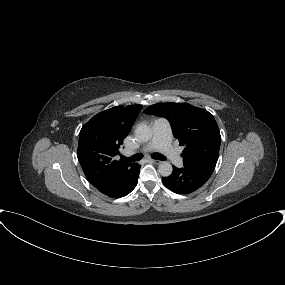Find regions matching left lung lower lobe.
Here are the masks:
<instances>
[{
    "label": "left lung lower lobe",
    "instance_id": "obj_1",
    "mask_svg": "<svg viewBox=\"0 0 285 285\" xmlns=\"http://www.w3.org/2000/svg\"><path fill=\"white\" fill-rule=\"evenodd\" d=\"M215 169L212 164H197L177 168L173 166L170 176L162 178L163 184L177 194H188L199 189Z\"/></svg>",
    "mask_w": 285,
    "mask_h": 285
}]
</instances>
